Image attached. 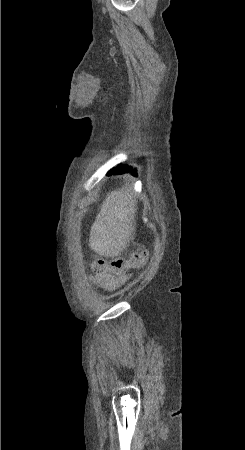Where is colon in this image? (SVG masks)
<instances>
[{
	"instance_id": "1",
	"label": "colon",
	"mask_w": 245,
	"mask_h": 450,
	"mask_svg": "<svg viewBox=\"0 0 245 450\" xmlns=\"http://www.w3.org/2000/svg\"><path fill=\"white\" fill-rule=\"evenodd\" d=\"M147 258V252L144 250H135L128 258H115L110 263L104 259L96 258L91 262L92 270L96 274H101L107 270L123 274L129 268L140 267Z\"/></svg>"
}]
</instances>
